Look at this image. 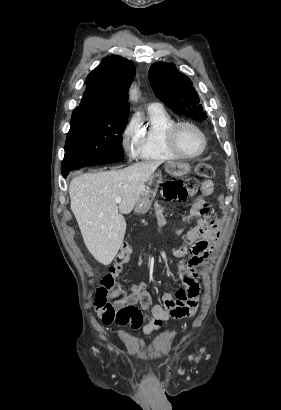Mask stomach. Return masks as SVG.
<instances>
[{
	"instance_id": "0dacf381",
	"label": "stomach",
	"mask_w": 281,
	"mask_h": 410,
	"mask_svg": "<svg viewBox=\"0 0 281 410\" xmlns=\"http://www.w3.org/2000/svg\"><path fill=\"white\" fill-rule=\"evenodd\" d=\"M165 171L172 176H183L190 171V166L186 163L167 162L165 164ZM161 182V173L157 172L151 176L145 191L135 205L134 210L137 214H145L150 209Z\"/></svg>"
}]
</instances>
